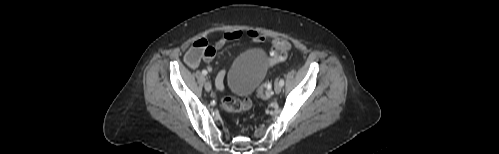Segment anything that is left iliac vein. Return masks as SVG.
Here are the masks:
<instances>
[{"mask_svg":"<svg viewBox=\"0 0 499 154\" xmlns=\"http://www.w3.org/2000/svg\"><path fill=\"white\" fill-rule=\"evenodd\" d=\"M282 90V86L279 83H276L274 86V91L276 94H279Z\"/></svg>","mask_w":499,"mask_h":154,"instance_id":"4c4485c4","label":"left iliac vein"}]
</instances>
